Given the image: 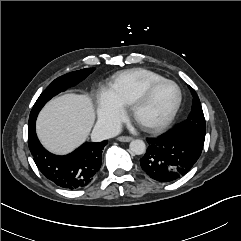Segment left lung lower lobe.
I'll return each mask as SVG.
<instances>
[{
	"label": "left lung lower lobe",
	"instance_id": "0a47b994",
	"mask_svg": "<svg viewBox=\"0 0 241 241\" xmlns=\"http://www.w3.org/2000/svg\"><path fill=\"white\" fill-rule=\"evenodd\" d=\"M147 142L149 147L140 165L150 178L159 182H172L184 176L202 151L190 136L174 130Z\"/></svg>",
	"mask_w": 241,
	"mask_h": 241
}]
</instances>
